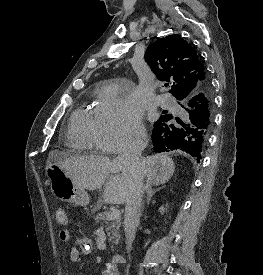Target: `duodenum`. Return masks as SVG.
I'll use <instances>...</instances> for the list:
<instances>
[{"label":"duodenum","instance_id":"obj_1","mask_svg":"<svg viewBox=\"0 0 263 275\" xmlns=\"http://www.w3.org/2000/svg\"><path fill=\"white\" fill-rule=\"evenodd\" d=\"M124 260H125L124 255H122V254H115L112 257L111 261L109 263H107V266L110 269L115 270V269H117L118 264L123 263Z\"/></svg>","mask_w":263,"mask_h":275}]
</instances>
